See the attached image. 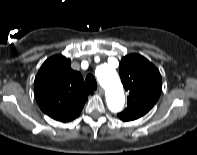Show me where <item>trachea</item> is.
I'll return each instance as SVG.
<instances>
[{
    "mask_svg": "<svg viewBox=\"0 0 197 155\" xmlns=\"http://www.w3.org/2000/svg\"><path fill=\"white\" fill-rule=\"evenodd\" d=\"M86 84L93 90L97 89V82L95 77L92 74L87 75Z\"/></svg>",
    "mask_w": 197,
    "mask_h": 155,
    "instance_id": "3493384b",
    "label": "trachea"
}]
</instances>
